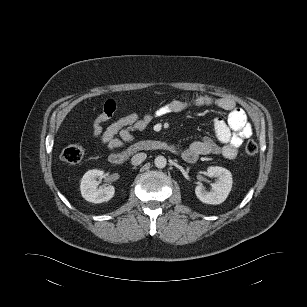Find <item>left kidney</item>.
Here are the masks:
<instances>
[{"instance_id":"obj_1","label":"left kidney","mask_w":307,"mask_h":307,"mask_svg":"<svg viewBox=\"0 0 307 307\" xmlns=\"http://www.w3.org/2000/svg\"><path fill=\"white\" fill-rule=\"evenodd\" d=\"M206 175L215 177L216 181L212 184V190L207 191L202 184L195 188L197 198L206 204H220L224 202L232 188L231 172L223 167L210 166L207 168Z\"/></svg>"}]
</instances>
